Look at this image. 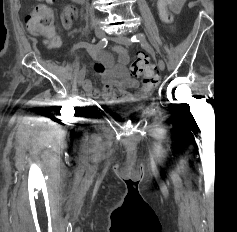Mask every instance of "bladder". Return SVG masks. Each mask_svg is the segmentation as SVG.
<instances>
[{"label":"bladder","mask_w":237,"mask_h":232,"mask_svg":"<svg viewBox=\"0 0 237 232\" xmlns=\"http://www.w3.org/2000/svg\"><path fill=\"white\" fill-rule=\"evenodd\" d=\"M144 101L145 99L138 101L129 100L124 103H109L106 107L114 114H128L139 110L143 106Z\"/></svg>","instance_id":"obj_1"}]
</instances>
